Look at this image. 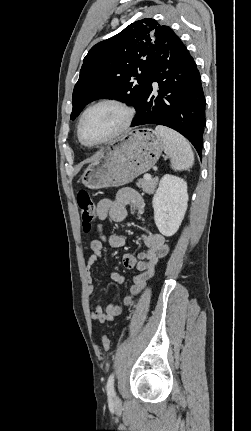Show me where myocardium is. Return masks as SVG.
I'll use <instances>...</instances> for the list:
<instances>
[{
  "label": "myocardium",
  "mask_w": 251,
  "mask_h": 431,
  "mask_svg": "<svg viewBox=\"0 0 251 431\" xmlns=\"http://www.w3.org/2000/svg\"><path fill=\"white\" fill-rule=\"evenodd\" d=\"M103 105H112L115 106L119 109H121L123 111L124 114V118L123 121L121 123V125L112 133L110 134L108 137L102 139L99 142L96 143H90L87 142L82 135V124H83V120L85 118V116L94 108H97L99 106H103ZM135 117V110L133 109V107H131L130 105H128L127 103H125L122 100L116 99V98H104L101 100L96 101L95 103L89 105L81 114L79 121H78V125H77V135H78V139L80 140V142L87 146V147H98L100 145L106 144L116 138H118L119 136H121L122 134H124L131 126L133 119Z\"/></svg>",
  "instance_id": "myocardium-1"
}]
</instances>
